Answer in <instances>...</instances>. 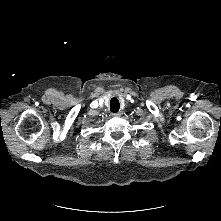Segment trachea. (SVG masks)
<instances>
[{"instance_id":"obj_1","label":"trachea","mask_w":221,"mask_h":221,"mask_svg":"<svg viewBox=\"0 0 221 221\" xmlns=\"http://www.w3.org/2000/svg\"><path fill=\"white\" fill-rule=\"evenodd\" d=\"M120 109V103H119V100L115 97H113L111 100H110V110L111 112H118Z\"/></svg>"}]
</instances>
